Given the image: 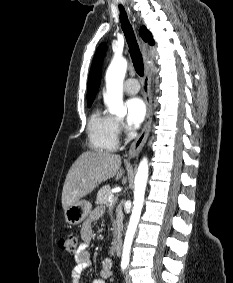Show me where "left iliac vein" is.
Masks as SVG:
<instances>
[{"instance_id":"1","label":"left iliac vein","mask_w":233,"mask_h":283,"mask_svg":"<svg viewBox=\"0 0 233 283\" xmlns=\"http://www.w3.org/2000/svg\"><path fill=\"white\" fill-rule=\"evenodd\" d=\"M125 283H132L131 278L129 275H126L125 277Z\"/></svg>"}]
</instances>
